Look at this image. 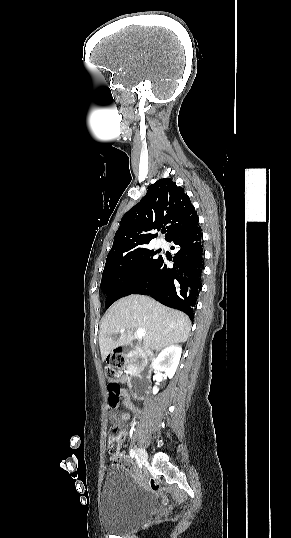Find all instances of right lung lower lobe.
<instances>
[{
    "instance_id": "98d812e1",
    "label": "right lung lower lobe",
    "mask_w": 291,
    "mask_h": 538,
    "mask_svg": "<svg viewBox=\"0 0 291 538\" xmlns=\"http://www.w3.org/2000/svg\"><path fill=\"white\" fill-rule=\"evenodd\" d=\"M173 242L177 253L173 268L165 264L160 256L154 268L132 294L149 295L160 303L194 317L197 297L202 287L204 267L202 234L198 221L191 227L173 235L167 240Z\"/></svg>"
}]
</instances>
